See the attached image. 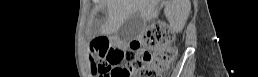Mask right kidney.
Returning <instances> with one entry per match:
<instances>
[{"label":"right kidney","mask_w":258,"mask_h":77,"mask_svg":"<svg viewBox=\"0 0 258 77\" xmlns=\"http://www.w3.org/2000/svg\"><path fill=\"white\" fill-rule=\"evenodd\" d=\"M171 25L176 31L181 30L184 26L183 22H178V20L175 18V9L171 11Z\"/></svg>","instance_id":"1"}]
</instances>
